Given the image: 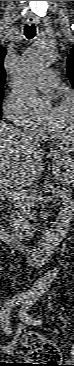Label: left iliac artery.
Returning <instances> with one entry per match:
<instances>
[{
  "instance_id": "obj_1",
  "label": "left iliac artery",
  "mask_w": 74,
  "mask_h": 366,
  "mask_svg": "<svg viewBox=\"0 0 74 366\" xmlns=\"http://www.w3.org/2000/svg\"><path fill=\"white\" fill-rule=\"evenodd\" d=\"M35 298H30L23 307V310H21L20 315L22 317V320L27 323H34V324H41V320H35L32 318L31 315L27 314V309L34 303Z\"/></svg>"
}]
</instances>
